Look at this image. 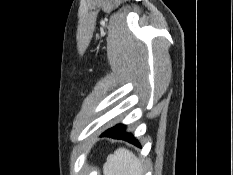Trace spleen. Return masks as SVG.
<instances>
[{"label": "spleen", "instance_id": "1", "mask_svg": "<svg viewBox=\"0 0 233 175\" xmlns=\"http://www.w3.org/2000/svg\"><path fill=\"white\" fill-rule=\"evenodd\" d=\"M103 172L104 175H143V168L132 152L119 148L107 157Z\"/></svg>", "mask_w": 233, "mask_h": 175}]
</instances>
